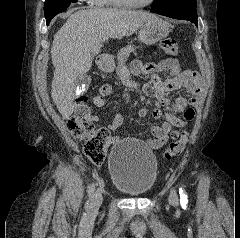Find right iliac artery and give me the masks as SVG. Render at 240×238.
<instances>
[{
	"instance_id": "82829eb1",
	"label": "right iliac artery",
	"mask_w": 240,
	"mask_h": 238,
	"mask_svg": "<svg viewBox=\"0 0 240 238\" xmlns=\"http://www.w3.org/2000/svg\"><path fill=\"white\" fill-rule=\"evenodd\" d=\"M95 190V184H91L88 188V197H91V195L94 193ZM86 206L88 207V203L86 204Z\"/></svg>"
}]
</instances>
